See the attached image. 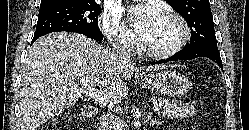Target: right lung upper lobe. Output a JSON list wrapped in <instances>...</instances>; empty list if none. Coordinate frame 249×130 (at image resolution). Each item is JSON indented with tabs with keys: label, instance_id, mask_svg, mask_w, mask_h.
I'll return each mask as SVG.
<instances>
[{
	"label": "right lung upper lobe",
	"instance_id": "right-lung-upper-lobe-1",
	"mask_svg": "<svg viewBox=\"0 0 249 130\" xmlns=\"http://www.w3.org/2000/svg\"><path fill=\"white\" fill-rule=\"evenodd\" d=\"M63 1H65V0H41L40 6L61 3ZM91 1H94V0H91Z\"/></svg>",
	"mask_w": 249,
	"mask_h": 130
}]
</instances>
